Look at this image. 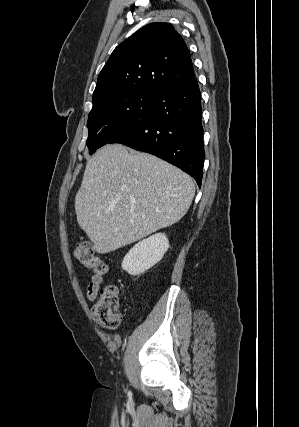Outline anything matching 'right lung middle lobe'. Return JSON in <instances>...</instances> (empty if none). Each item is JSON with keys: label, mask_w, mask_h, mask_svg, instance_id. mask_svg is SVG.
<instances>
[{"label": "right lung middle lobe", "mask_w": 299, "mask_h": 427, "mask_svg": "<svg viewBox=\"0 0 299 427\" xmlns=\"http://www.w3.org/2000/svg\"><path fill=\"white\" fill-rule=\"evenodd\" d=\"M154 96L124 92L107 96L95 103L88 115L87 146L89 154L122 133L143 114Z\"/></svg>", "instance_id": "obj_1"}]
</instances>
